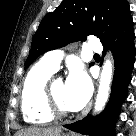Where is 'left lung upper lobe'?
I'll return each mask as SVG.
<instances>
[{
    "instance_id": "left-lung-upper-lobe-1",
    "label": "left lung upper lobe",
    "mask_w": 136,
    "mask_h": 136,
    "mask_svg": "<svg viewBox=\"0 0 136 136\" xmlns=\"http://www.w3.org/2000/svg\"><path fill=\"white\" fill-rule=\"evenodd\" d=\"M128 14L127 0H63L55 11L42 19L33 37L25 68L41 54L70 42L84 41L89 35L105 41Z\"/></svg>"
}]
</instances>
